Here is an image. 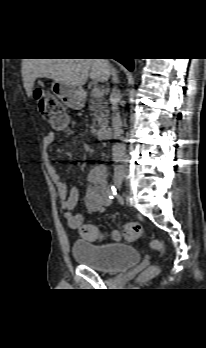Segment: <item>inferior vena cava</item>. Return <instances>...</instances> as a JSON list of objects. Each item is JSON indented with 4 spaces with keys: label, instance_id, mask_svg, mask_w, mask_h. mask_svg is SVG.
Segmentation results:
<instances>
[{
    "label": "inferior vena cava",
    "instance_id": "obj_1",
    "mask_svg": "<svg viewBox=\"0 0 206 348\" xmlns=\"http://www.w3.org/2000/svg\"><path fill=\"white\" fill-rule=\"evenodd\" d=\"M112 75V82L114 84H118V76L117 72L114 68L111 70ZM121 101V93L118 89L117 85H115L112 89V92L110 94V103H111V109H112V127H113V138L115 140H122V121L119 113L118 105ZM112 156L114 161H121L124 158L125 155V145L123 143H115L112 148Z\"/></svg>",
    "mask_w": 206,
    "mask_h": 348
}]
</instances>
